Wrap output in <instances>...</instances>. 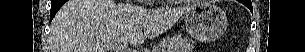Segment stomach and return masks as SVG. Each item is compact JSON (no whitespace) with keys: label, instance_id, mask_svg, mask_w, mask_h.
<instances>
[{"label":"stomach","instance_id":"obj_1","mask_svg":"<svg viewBox=\"0 0 305 52\" xmlns=\"http://www.w3.org/2000/svg\"><path fill=\"white\" fill-rule=\"evenodd\" d=\"M187 32L203 42L217 40L227 26V17L223 10L208 1H199L192 5L184 15Z\"/></svg>","mask_w":305,"mask_h":52}]
</instances>
